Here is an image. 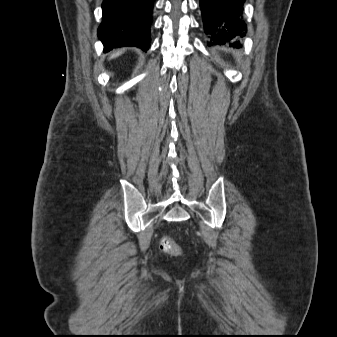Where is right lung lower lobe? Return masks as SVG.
<instances>
[{
  "label": "right lung lower lobe",
  "instance_id": "1",
  "mask_svg": "<svg viewBox=\"0 0 337 337\" xmlns=\"http://www.w3.org/2000/svg\"><path fill=\"white\" fill-rule=\"evenodd\" d=\"M154 0H103L98 37L104 51L134 46L147 51Z\"/></svg>",
  "mask_w": 337,
  "mask_h": 337
}]
</instances>
